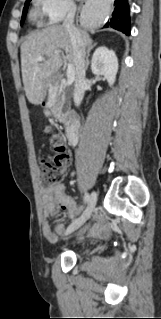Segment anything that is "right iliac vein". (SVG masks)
Wrapping results in <instances>:
<instances>
[{"mask_svg": "<svg viewBox=\"0 0 161 319\" xmlns=\"http://www.w3.org/2000/svg\"><path fill=\"white\" fill-rule=\"evenodd\" d=\"M96 201H97V195L95 192L92 193L89 204L86 208V210L84 211V213L77 218L76 220H74L66 229L65 231V235H68L70 233H72L73 231H75L76 229H78L80 226H82L85 221L91 216V214L94 211L95 205H96Z\"/></svg>", "mask_w": 161, "mask_h": 319, "instance_id": "obj_1", "label": "right iliac vein"}]
</instances>
